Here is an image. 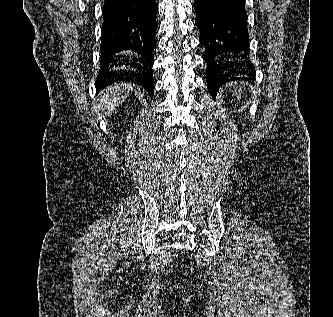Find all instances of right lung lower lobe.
<instances>
[{
	"label": "right lung lower lobe",
	"mask_w": 333,
	"mask_h": 317,
	"mask_svg": "<svg viewBox=\"0 0 333 317\" xmlns=\"http://www.w3.org/2000/svg\"><path fill=\"white\" fill-rule=\"evenodd\" d=\"M102 13L101 69L95 82L96 91L119 77V74L109 72L116 62L113 58L115 53L132 50L142 55L139 59L142 68L130 77L152 97L155 87L152 52L156 46V0H105Z\"/></svg>",
	"instance_id": "right-lung-lower-lobe-1"
}]
</instances>
